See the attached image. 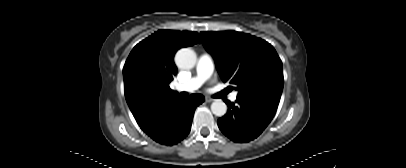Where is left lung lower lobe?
<instances>
[{"instance_id":"obj_1","label":"left lung lower lobe","mask_w":406,"mask_h":168,"mask_svg":"<svg viewBox=\"0 0 406 168\" xmlns=\"http://www.w3.org/2000/svg\"><path fill=\"white\" fill-rule=\"evenodd\" d=\"M228 112L217 123L234 142H248L259 136L275 115L278 105L237 97L236 104L225 100Z\"/></svg>"}]
</instances>
